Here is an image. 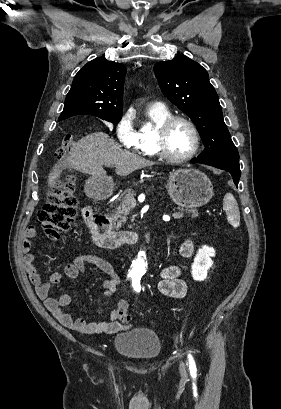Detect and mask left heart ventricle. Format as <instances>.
Instances as JSON below:
<instances>
[{
    "label": "left heart ventricle",
    "mask_w": 281,
    "mask_h": 409,
    "mask_svg": "<svg viewBox=\"0 0 281 409\" xmlns=\"http://www.w3.org/2000/svg\"><path fill=\"white\" fill-rule=\"evenodd\" d=\"M194 145L193 135L182 122L175 123L169 130L166 137V147L173 156H184L188 154Z\"/></svg>",
    "instance_id": "left-heart-ventricle-1"
}]
</instances>
